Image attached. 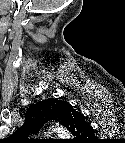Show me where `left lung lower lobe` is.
I'll list each match as a JSON object with an SVG mask.
<instances>
[{"label":"left lung lower lobe","mask_w":125,"mask_h":143,"mask_svg":"<svg viewBox=\"0 0 125 143\" xmlns=\"http://www.w3.org/2000/svg\"><path fill=\"white\" fill-rule=\"evenodd\" d=\"M84 119V116L77 112L75 109H73L72 105L67 103L65 106V124L69 127L75 122L78 123L79 121H82ZM91 134H93V130L91 131Z\"/></svg>","instance_id":"obj_1"}]
</instances>
